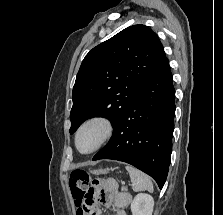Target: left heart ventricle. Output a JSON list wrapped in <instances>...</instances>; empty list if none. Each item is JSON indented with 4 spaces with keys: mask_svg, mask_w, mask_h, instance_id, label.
Segmentation results:
<instances>
[{
    "mask_svg": "<svg viewBox=\"0 0 223 215\" xmlns=\"http://www.w3.org/2000/svg\"><path fill=\"white\" fill-rule=\"evenodd\" d=\"M99 137V132L95 128L83 130L78 139V145L81 150H88L94 146Z\"/></svg>",
    "mask_w": 223,
    "mask_h": 215,
    "instance_id": "b2bd125f",
    "label": "left heart ventricle"
}]
</instances>
